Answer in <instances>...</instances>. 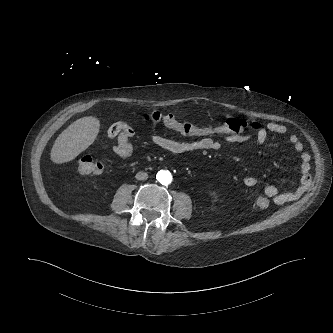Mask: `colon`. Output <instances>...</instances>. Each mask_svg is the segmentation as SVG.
<instances>
[{"label": "colon", "instance_id": "obj_1", "mask_svg": "<svg viewBox=\"0 0 333 333\" xmlns=\"http://www.w3.org/2000/svg\"><path fill=\"white\" fill-rule=\"evenodd\" d=\"M149 119L154 123H161L183 136L199 138H224L230 134H242L261 127L258 122H247L235 117H229L218 125H202L192 121H180L173 114H164L159 111L150 113ZM123 130L126 135L133 134V130L128 123H125ZM102 170L103 163L100 159L90 155H85L79 159L78 171L82 174H99ZM254 205L260 210H266L270 207L271 202L266 196H258L254 200Z\"/></svg>", "mask_w": 333, "mask_h": 333}]
</instances>
